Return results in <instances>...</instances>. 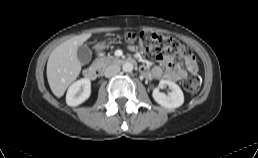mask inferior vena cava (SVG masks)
<instances>
[{
    "instance_id": "obj_1",
    "label": "inferior vena cava",
    "mask_w": 258,
    "mask_h": 158,
    "mask_svg": "<svg viewBox=\"0 0 258 158\" xmlns=\"http://www.w3.org/2000/svg\"><path fill=\"white\" fill-rule=\"evenodd\" d=\"M120 72V66L119 65H116V64H113V65H109L105 71H104V75L106 77H112L114 75H116L117 73Z\"/></svg>"
}]
</instances>
